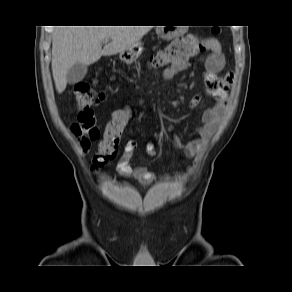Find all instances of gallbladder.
<instances>
[{"instance_id": "obj_1", "label": "gallbladder", "mask_w": 292, "mask_h": 292, "mask_svg": "<svg viewBox=\"0 0 292 292\" xmlns=\"http://www.w3.org/2000/svg\"><path fill=\"white\" fill-rule=\"evenodd\" d=\"M88 66L84 64L77 63L72 66L67 75L66 79L69 84H76L80 82L86 75Z\"/></svg>"}]
</instances>
